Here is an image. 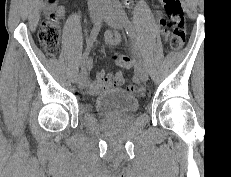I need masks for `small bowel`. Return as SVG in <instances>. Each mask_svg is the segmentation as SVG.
<instances>
[{"label":"small bowel","mask_w":231,"mask_h":177,"mask_svg":"<svg viewBox=\"0 0 231 177\" xmlns=\"http://www.w3.org/2000/svg\"><path fill=\"white\" fill-rule=\"evenodd\" d=\"M57 0L54 4H49L50 6H55V11L58 15L62 16L65 13V6L63 4L56 5ZM105 41L109 45H117L120 42V37L117 33H106ZM123 69H133L135 68V62H121ZM125 78L122 71L116 73H107L105 70H99L96 74V79L89 83V92L91 94H98L102 90L119 87L124 85ZM134 85H129L127 89L132 90L131 87Z\"/></svg>","instance_id":"small-bowel-1"}]
</instances>
